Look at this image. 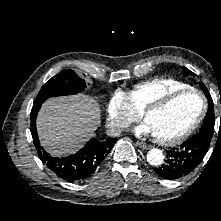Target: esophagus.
Instances as JSON below:
<instances>
[{"instance_id":"34e87169","label":"esophagus","mask_w":221,"mask_h":221,"mask_svg":"<svg viewBox=\"0 0 221 221\" xmlns=\"http://www.w3.org/2000/svg\"><path fill=\"white\" fill-rule=\"evenodd\" d=\"M137 146H139L140 148L142 149H150V146H148L146 143L144 142H140V141H137L136 142Z\"/></svg>"}]
</instances>
